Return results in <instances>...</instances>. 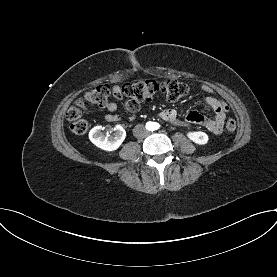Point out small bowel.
Here are the masks:
<instances>
[{
    "mask_svg": "<svg viewBox=\"0 0 277 277\" xmlns=\"http://www.w3.org/2000/svg\"><path fill=\"white\" fill-rule=\"evenodd\" d=\"M201 88L208 94L205 99V103L213 110L215 114L214 119L208 118L199 112H190L185 116L184 120H179L176 111L173 109L163 110L160 113V118L175 125L200 126L213 134H220L223 131L225 114L229 107L226 102L214 96V90L212 87L204 84ZM112 93L115 98L123 99V93L120 86L114 85L112 87ZM125 105L127 110L131 113H136L140 109L139 103L132 102L131 100L126 101ZM106 109L109 111V113L104 116L107 121L117 122L121 120V117L114 113L117 110L116 103H107ZM130 119H133V117Z\"/></svg>",
    "mask_w": 277,
    "mask_h": 277,
    "instance_id": "small-bowel-1",
    "label": "small bowel"
}]
</instances>
